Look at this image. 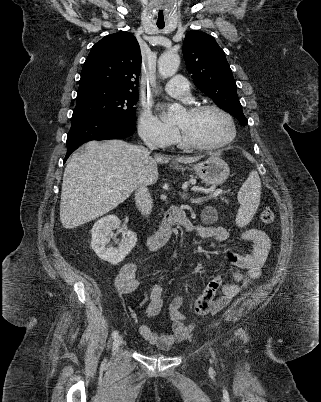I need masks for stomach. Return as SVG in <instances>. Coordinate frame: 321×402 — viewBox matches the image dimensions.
I'll list each match as a JSON object with an SVG mask.
<instances>
[{
  "label": "stomach",
  "instance_id": "obj_1",
  "mask_svg": "<svg viewBox=\"0 0 321 402\" xmlns=\"http://www.w3.org/2000/svg\"><path fill=\"white\" fill-rule=\"evenodd\" d=\"M176 169L185 170L182 166H176ZM195 173L207 185H219L226 181L229 176L230 169L228 164L218 158L210 157L192 166Z\"/></svg>",
  "mask_w": 321,
  "mask_h": 402
}]
</instances>
